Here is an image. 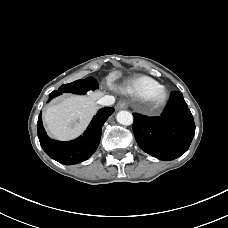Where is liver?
Returning <instances> with one entry per match:
<instances>
[{"label":"liver","mask_w":228,"mask_h":228,"mask_svg":"<svg viewBox=\"0 0 228 228\" xmlns=\"http://www.w3.org/2000/svg\"><path fill=\"white\" fill-rule=\"evenodd\" d=\"M102 96V91H91L87 95L69 96L48 107L43 116L47 130L59 140L76 138L96 113L95 103Z\"/></svg>","instance_id":"1"}]
</instances>
